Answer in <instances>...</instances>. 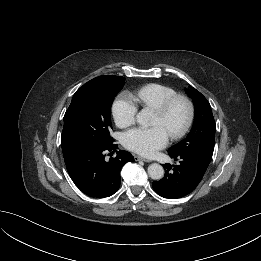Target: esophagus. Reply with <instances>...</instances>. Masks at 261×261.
Listing matches in <instances>:
<instances>
[{
    "instance_id": "1",
    "label": "esophagus",
    "mask_w": 261,
    "mask_h": 261,
    "mask_svg": "<svg viewBox=\"0 0 261 261\" xmlns=\"http://www.w3.org/2000/svg\"><path fill=\"white\" fill-rule=\"evenodd\" d=\"M134 159H135V161H140V160H142V161H144V162H150V160L145 159V158H142V157H140V156H138V155H134Z\"/></svg>"
}]
</instances>
